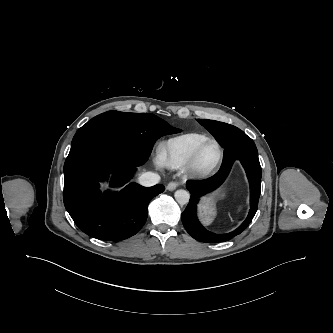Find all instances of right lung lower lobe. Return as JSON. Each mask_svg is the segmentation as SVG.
I'll return each mask as SVG.
<instances>
[{"instance_id":"1","label":"right lung lower lobe","mask_w":333,"mask_h":333,"mask_svg":"<svg viewBox=\"0 0 333 333\" xmlns=\"http://www.w3.org/2000/svg\"><path fill=\"white\" fill-rule=\"evenodd\" d=\"M147 160L148 156L105 136L90 135L71 144L64 164L63 198L80 230L100 240L119 241L143 227L150 200L165 187L129 183L120 192L102 194L99 183L122 186Z\"/></svg>"}]
</instances>
